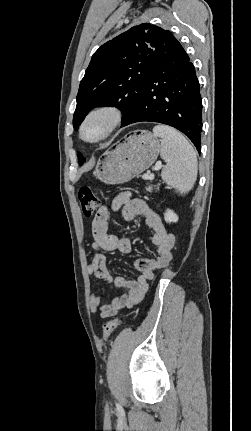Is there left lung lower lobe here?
<instances>
[{
	"instance_id": "left-lung-lower-lobe-1",
	"label": "left lung lower lobe",
	"mask_w": 251,
	"mask_h": 431,
	"mask_svg": "<svg viewBox=\"0 0 251 431\" xmlns=\"http://www.w3.org/2000/svg\"><path fill=\"white\" fill-rule=\"evenodd\" d=\"M142 121L175 127L201 150L200 85L190 58L173 35L156 52L136 105L122 126Z\"/></svg>"
}]
</instances>
